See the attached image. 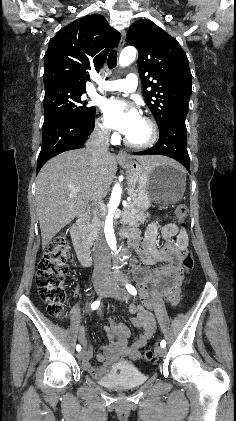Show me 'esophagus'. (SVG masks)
Returning a JSON list of instances; mask_svg holds the SVG:
<instances>
[{"label":"esophagus","mask_w":236,"mask_h":421,"mask_svg":"<svg viewBox=\"0 0 236 421\" xmlns=\"http://www.w3.org/2000/svg\"><path fill=\"white\" fill-rule=\"evenodd\" d=\"M125 37H126V32L123 30L121 32V40L119 42V50H122V48L124 47L125 44ZM129 156L127 155V153L125 151H119L118 155H117V159L120 161H128L129 160Z\"/></svg>","instance_id":"esophagus-1"}]
</instances>
